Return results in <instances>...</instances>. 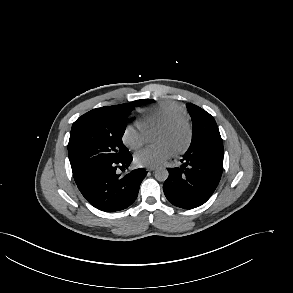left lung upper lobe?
I'll return each mask as SVG.
<instances>
[{
    "label": "left lung upper lobe",
    "instance_id": "1",
    "mask_svg": "<svg viewBox=\"0 0 293 293\" xmlns=\"http://www.w3.org/2000/svg\"><path fill=\"white\" fill-rule=\"evenodd\" d=\"M187 109L192 119V141L186 153L196 149H213L223 153V141L214 118L202 108L187 104Z\"/></svg>",
    "mask_w": 293,
    "mask_h": 293
}]
</instances>
